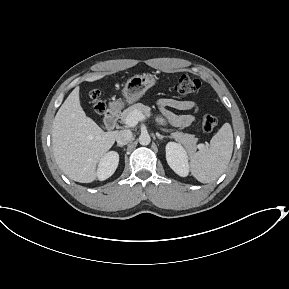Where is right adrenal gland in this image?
Returning a JSON list of instances; mask_svg holds the SVG:
<instances>
[{
	"label": "right adrenal gland",
	"mask_w": 289,
	"mask_h": 289,
	"mask_svg": "<svg viewBox=\"0 0 289 289\" xmlns=\"http://www.w3.org/2000/svg\"><path fill=\"white\" fill-rule=\"evenodd\" d=\"M116 146H117V147H120V148H122V147H123V146H121V145H118V144H117Z\"/></svg>",
	"instance_id": "1"
}]
</instances>
